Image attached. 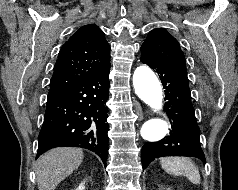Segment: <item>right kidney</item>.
I'll use <instances>...</instances> for the list:
<instances>
[{
	"label": "right kidney",
	"instance_id": "right-kidney-1",
	"mask_svg": "<svg viewBox=\"0 0 238 190\" xmlns=\"http://www.w3.org/2000/svg\"><path fill=\"white\" fill-rule=\"evenodd\" d=\"M85 182L84 183H81L79 185V187L76 189V190H85V186H84Z\"/></svg>",
	"mask_w": 238,
	"mask_h": 190
}]
</instances>
